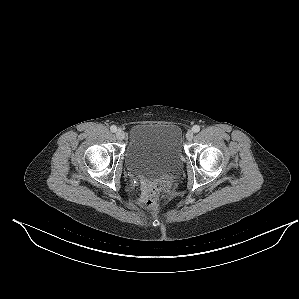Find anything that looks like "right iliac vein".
I'll use <instances>...</instances> for the list:
<instances>
[{"mask_svg":"<svg viewBox=\"0 0 299 299\" xmlns=\"http://www.w3.org/2000/svg\"><path fill=\"white\" fill-rule=\"evenodd\" d=\"M124 137H125L124 132H123L121 129H118V130L116 131V138H117L118 140H123Z\"/></svg>","mask_w":299,"mask_h":299,"instance_id":"1","label":"right iliac vein"}]
</instances>
